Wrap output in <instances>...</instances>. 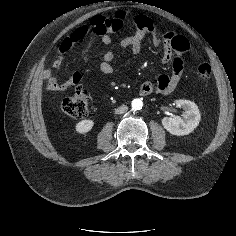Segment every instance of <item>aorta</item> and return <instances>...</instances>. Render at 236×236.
Returning <instances> with one entry per match:
<instances>
[{"mask_svg":"<svg viewBox=\"0 0 236 236\" xmlns=\"http://www.w3.org/2000/svg\"><path fill=\"white\" fill-rule=\"evenodd\" d=\"M131 106L134 110H140V109H142L143 102L141 99L136 98L131 102Z\"/></svg>","mask_w":236,"mask_h":236,"instance_id":"aorta-1","label":"aorta"}]
</instances>
